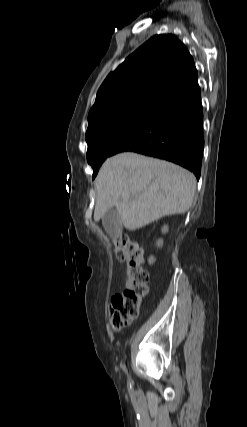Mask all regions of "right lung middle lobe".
Instances as JSON below:
<instances>
[{
	"mask_svg": "<svg viewBox=\"0 0 247 427\" xmlns=\"http://www.w3.org/2000/svg\"><path fill=\"white\" fill-rule=\"evenodd\" d=\"M154 106L127 107L100 116L86 132L87 161L93 168V179L103 161L132 134L156 109Z\"/></svg>",
	"mask_w": 247,
	"mask_h": 427,
	"instance_id": "1",
	"label": "right lung middle lobe"
}]
</instances>
